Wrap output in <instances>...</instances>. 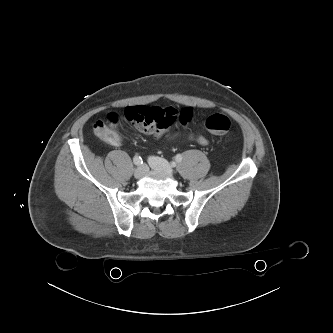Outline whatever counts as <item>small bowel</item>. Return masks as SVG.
<instances>
[{"mask_svg": "<svg viewBox=\"0 0 333 333\" xmlns=\"http://www.w3.org/2000/svg\"><path fill=\"white\" fill-rule=\"evenodd\" d=\"M193 117V111L185 108L181 111L173 107H128L124 111V118L143 134L154 138H161L169 134L176 124L187 125ZM191 139L196 140L201 145L208 143L207 139L201 135H191ZM122 139L118 133H114L109 142L112 146H119Z\"/></svg>", "mask_w": 333, "mask_h": 333, "instance_id": "obj_1", "label": "small bowel"}]
</instances>
